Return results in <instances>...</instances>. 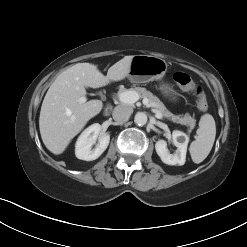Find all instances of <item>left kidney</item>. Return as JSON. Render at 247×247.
Masks as SVG:
<instances>
[{"label": "left kidney", "instance_id": "left-kidney-1", "mask_svg": "<svg viewBox=\"0 0 247 247\" xmlns=\"http://www.w3.org/2000/svg\"><path fill=\"white\" fill-rule=\"evenodd\" d=\"M173 144L177 147L174 154H170L165 140H158L155 149L162 162L168 165H184L186 160L189 137L181 131H173Z\"/></svg>", "mask_w": 247, "mask_h": 247}]
</instances>
